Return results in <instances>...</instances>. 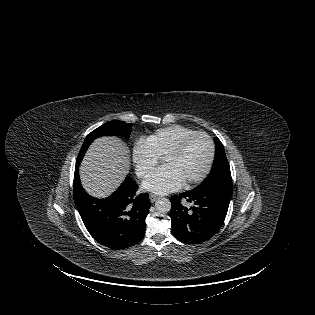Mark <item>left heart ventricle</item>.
I'll return each mask as SVG.
<instances>
[{"label":"left heart ventricle","mask_w":315,"mask_h":315,"mask_svg":"<svg viewBox=\"0 0 315 315\" xmlns=\"http://www.w3.org/2000/svg\"><path fill=\"white\" fill-rule=\"evenodd\" d=\"M209 154V145L205 137L193 138L183 152L164 160V164L174 169L185 181L196 177L204 169Z\"/></svg>","instance_id":"b2bd125f"}]
</instances>
